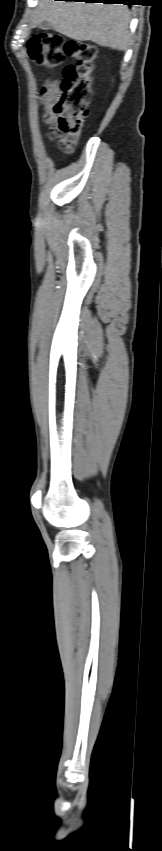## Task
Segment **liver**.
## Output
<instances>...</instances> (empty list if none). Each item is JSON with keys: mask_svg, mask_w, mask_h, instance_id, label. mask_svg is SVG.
<instances>
[{"mask_svg": "<svg viewBox=\"0 0 162 851\" xmlns=\"http://www.w3.org/2000/svg\"><path fill=\"white\" fill-rule=\"evenodd\" d=\"M48 21L52 28L77 41L125 51L130 45L127 6L74 1L40 0L31 26Z\"/></svg>", "mask_w": 162, "mask_h": 851, "instance_id": "obj_1", "label": "liver"}]
</instances>
